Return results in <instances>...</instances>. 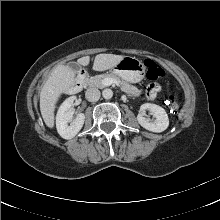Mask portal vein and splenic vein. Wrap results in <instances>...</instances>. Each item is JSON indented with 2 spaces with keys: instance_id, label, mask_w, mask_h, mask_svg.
Here are the masks:
<instances>
[{
  "instance_id": "1",
  "label": "portal vein and splenic vein",
  "mask_w": 220,
  "mask_h": 220,
  "mask_svg": "<svg viewBox=\"0 0 220 220\" xmlns=\"http://www.w3.org/2000/svg\"><path fill=\"white\" fill-rule=\"evenodd\" d=\"M103 84L105 86H110L111 84L119 85V82L116 81L115 79H112V78H106V79L103 80Z\"/></svg>"
}]
</instances>
